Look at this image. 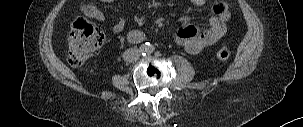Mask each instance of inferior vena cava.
I'll use <instances>...</instances> for the list:
<instances>
[{"mask_svg": "<svg viewBox=\"0 0 303 127\" xmlns=\"http://www.w3.org/2000/svg\"><path fill=\"white\" fill-rule=\"evenodd\" d=\"M139 57V51L135 48H130L127 49L124 53H123V59L126 62H134L138 59Z\"/></svg>", "mask_w": 303, "mask_h": 127, "instance_id": "inferior-vena-cava-1", "label": "inferior vena cava"}]
</instances>
